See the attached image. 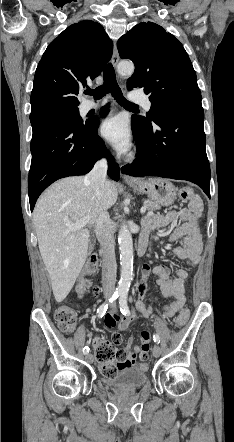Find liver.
Here are the masks:
<instances>
[{
    "label": "liver",
    "instance_id": "liver-1",
    "mask_svg": "<svg viewBox=\"0 0 234 442\" xmlns=\"http://www.w3.org/2000/svg\"><path fill=\"white\" fill-rule=\"evenodd\" d=\"M117 198V188L111 181H106L101 193L96 195L84 177H67L50 186L38 200L33 222L58 303L71 291L88 255L89 229L71 230L67 223L89 217L88 227H91Z\"/></svg>",
    "mask_w": 234,
    "mask_h": 442
}]
</instances>
